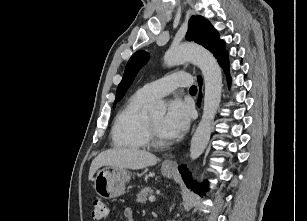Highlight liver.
Masks as SVG:
<instances>
[{"label":"liver","mask_w":307,"mask_h":221,"mask_svg":"<svg viewBox=\"0 0 307 221\" xmlns=\"http://www.w3.org/2000/svg\"><path fill=\"white\" fill-rule=\"evenodd\" d=\"M158 158L147 151L135 148H114L101 152L91 163L89 180L102 166L138 170L155 165Z\"/></svg>","instance_id":"6515ba94"}]
</instances>
